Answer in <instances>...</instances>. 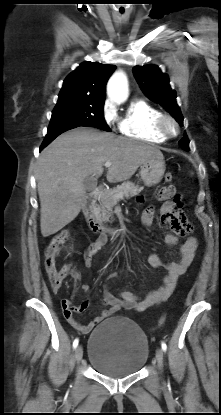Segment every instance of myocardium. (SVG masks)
<instances>
[{
	"mask_svg": "<svg viewBox=\"0 0 221 415\" xmlns=\"http://www.w3.org/2000/svg\"><path fill=\"white\" fill-rule=\"evenodd\" d=\"M156 129L166 138H173L179 134L180 125L172 115L162 113L156 120Z\"/></svg>",
	"mask_w": 221,
	"mask_h": 415,
	"instance_id": "obj_1",
	"label": "myocardium"
}]
</instances>
